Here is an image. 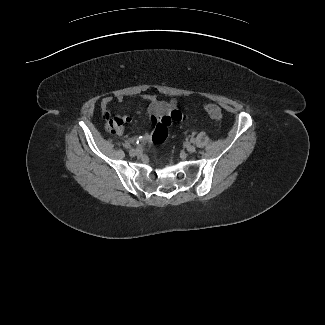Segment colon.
<instances>
[{"instance_id": "obj_1", "label": "colon", "mask_w": 325, "mask_h": 325, "mask_svg": "<svg viewBox=\"0 0 325 325\" xmlns=\"http://www.w3.org/2000/svg\"><path fill=\"white\" fill-rule=\"evenodd\" d=\"M203 108L207 111V113L216 120H220L222 118V113L220 108L214 104H204ZM113 132V131H112Z\"/></svg>"}]
</instances>
